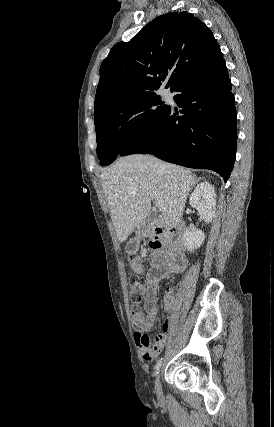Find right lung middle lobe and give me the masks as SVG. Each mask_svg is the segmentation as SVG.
<instances>
[{
  "label": "right lung middle lobe",
  "mask_w": 274,
  "mask_h": 427,
  "mask_svg": "<svg viewBox=\"0 0 274 427\" xmlns=\"http://www.w3.org/2000/svg\"><path fill=\"white\" fill-rule=\"evenodd\" d=\"M169 106L156 94L121 100L94 117L100 165H109L130 144L146 136Z\"/></svg>",
  "instance_id": "1"
}]
</instances>
